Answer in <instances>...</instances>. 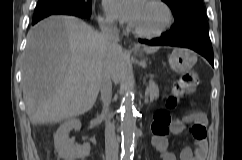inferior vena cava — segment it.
I'll return each mask as SVG.
<instances>
[{"label":"inferior vena cava","mask_w":242,"mask_h":160,"mask_svg":"<svg viewBox=\"0 0 242 160\" xmlns=\"http://www.w3.org/2000/svg\"><path fill=\"white\" fill-rule=\"evenodd\" d=\"M102 36L109 47H115L119 42V32L113 23L100 25ZM119 50H112L110 61L99 79L101 100L103 103L102 118L105 120V155L106 160H118V142L115 128L110 122L109 105L112 98V81H116L117 73L121 68L122 59L119 57Z\"/></svg>","instance_id":"602c4592"}]
</instances>
